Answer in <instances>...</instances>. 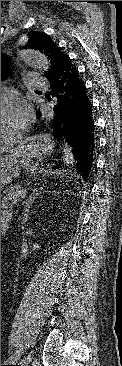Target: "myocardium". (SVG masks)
<instances>
[{
    "instance_id": "myocardium-1",
    "label": "myocardium",
    "mask_w": 122,
    "mask_h": 366,
    "mask_svg": "<svg viewBox=\"0 0 122 366\" xmlns=\"http://www.w3.org/2000/svg\"><path fill=\"white\" fill-rule=\"evenodd\" d=\"M11 100L7 97L1 96V107L4 106H11ZM21 129H17L14 133H12L9 137H1V144L2 145H11L15 141V137L19 134Z\"/></svg>"
}]
</instances>
